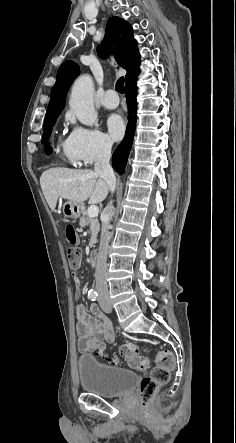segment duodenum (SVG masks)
I'll return each mask as SVG.
<instances>
[{
  "mask_svg": "<svg viewBox=\"0 0 236 443\" xmlns=\"http://www.w3.org/2000/svg\"><path fill=\"white\" fill-rule=\"evenodd\" d=\"M89 260H90L91 264H95L96 263V254L95 253H91L89 255Z\"/></svg>",
  "mask_w": 236,
  "mask_h": 443,
  "instance_id": "410a0bca",
  "label": "duodenum"
}]
</instances>
